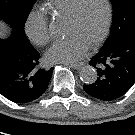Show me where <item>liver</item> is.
I'll return each instance as SVG.
<instances>
[{"label": "liver", "instance_id": "6515ba94", "mask_svg": "<svg viewBox=\"0 0 135 135\" xmlns=\"http://www.w3.org/2000/svg\"><path fill=\"white\" fill-rule=\"evenodd\" d=\"M6 29H7L6 25L0 22V37L5 35Z\"/></svg>", "mask_w": 135, "mask_h": 135}]
</instances>
